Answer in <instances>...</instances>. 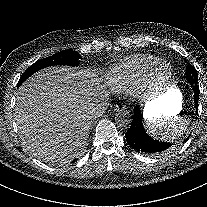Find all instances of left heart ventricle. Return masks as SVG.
I'll list each match as a JSON object with an SVG mask.
<instances>
[{
    "mask_svg": "<svg viewBox=\"0 0 207 207\" xmlns=\"http://www.w3.org/2000/svg\"><path fill=\"white\" fill-rule=\"evenodd\" d=\"M168 71H169V68H168V67H165V68L162 69L160 75L163 76V75H165Z\"/></svg>",
    "mask_w": 207,
    "mask_h": 207,
    "instance_id": "b2bd125f",
    "label": "left heart ventricle"
}]
</instances>
